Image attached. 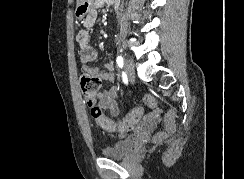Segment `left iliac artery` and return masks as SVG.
Returning a JSON list of instances; mask_svg holds the SVG:
<instances>
[{
  "label": "left iliac artery",
  "mask_w": 244,
  "mask_h": 179,
  "mask_svg": "<svg viewBox=\"0 0 244 179\" xmlns=\"http://www.w3.org/2000/svg\"><path fill=\"white\" fill-rule=\"evenodd\" d=\"M116 62L119 67H123V57L122 56H118Z\"/></svg>",
  "instance_id": "left-iliac-artery-1"
}]
</instances>
